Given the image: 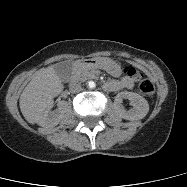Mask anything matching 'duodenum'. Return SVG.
Here are the masks:
<instances>
[{
  "instance_id": "410a0bca",
  "label": "duodenum",
  "mask_w": 187,
  "mask_h": 187,
  "mask_svg": "<svg viewBox=\"0 0 187 187\" xmlns=\"http://www.w3.org/2000/svg\"><path fill=\"white\" fill-rule=\"evenodd\" d=\"M91 62H94V61L92 59H79V60L75 61L74 68L77 69V68H79L85 64H89Z\"/></svg>"
}]
</instances>
